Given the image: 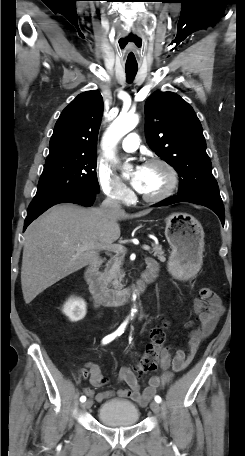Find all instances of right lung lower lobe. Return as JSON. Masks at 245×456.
Listing matches in <instances>:
<instances>
[{
    "label": "right lung lower lobe",
    "instance_id": "right-lung-lower-lobe-1",
    "mask_svg": "<svg viewBox=\"0 0 245 456\" xmlns=\"http://www.w3.org/2000/svg\"><path fill=\"white\" fill-rule=\"evenodd\" d=\"M96 193H69L54 197L32 201L28 207L27 217L24 223V230L39 215L48 208L59 203H75L83 206H91L94 203Z\"/></svg>",
    "mask_w": 245,
    "mask_h": 456
}]
</instances>
